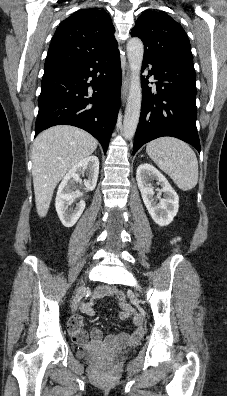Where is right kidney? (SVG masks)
<instances>
[{
  "instance_id": "obj_1",
  "label": "right kidney",
  "mask_w": 227,
  "mask_h": 396,
  "mask_svg": "<svg viewBox=\"0 0 227 396\" xmlns=\"http://www.w3.org/2000/svg\"><path fill=\"white\" fill-rule=\"evenodd\" d=\"M86 174L87 179L83 180L85 189L92 191L96 187L99 174V159L97 156H89L79 161L73 166L61 181L55 200V207L60 221L65 227H72L85 209V202L80 201L72 207L73 201L77 197L75 185L81 182V175Z\"/></svg>"
}]
</instances>
